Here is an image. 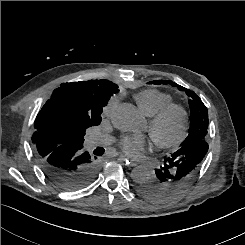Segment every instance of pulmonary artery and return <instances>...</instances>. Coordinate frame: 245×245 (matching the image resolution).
I'll return each instance as SVG.
<instances>
[{
    "instance_id": "pulmonary-artery-1",
    "label": "pulmonary artery",
    "mask_w": 245,
    "mask_h": 245,
    "mask_svg": "<svg viewBox=\"0 0 245 245\" xmlns=\"http://www.w3.org/2000/svg\"><path fill=\"white\" fill-rule=\"evenodd\" d=\"M112 142V138L106 135L102 134H96L88 138L87 144L90 148L96 147V146H104L108 145Z\"/></svg>"
}]
</instances>
